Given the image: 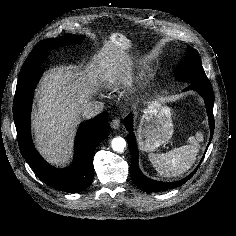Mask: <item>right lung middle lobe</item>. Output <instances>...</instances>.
I'll return each mask as SVG.
<instances>
[{"instance_id":"1","label":"right lung middle lobe","mask_w":236,"mask_h":236,"mask_svg":"<svg viewBox=\"0 0 236 236\" xmlns=\"http://www.w3.org/2000/svg\"><path fill=\"white\" fill-rule=\"evenodd\" d=\"M83 37L81 36H72L67 35L61 38H53V39H45L40 41L31 51L28 58L24 62L19 76L33 70L39 68V66L43 63L46 58V55L50 50L54 48H58L68 44H75L81 41Z\"/></svg>"}]
</instances>
